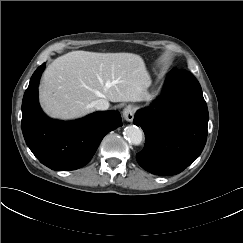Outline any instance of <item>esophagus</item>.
Wrapping results in <instances>:
<instances>
[{"instance_id": "34e87169", "label": "esophagus", "mask_w": 243, "mask_h": 243, "mask_svg": "<svg viewBox=\"0 0 243 243\" xmlns=\"http://www.w3.org/2000/svg\"><path fill=\"white\" fill-rule=\"evenodd\" d=\"M134 114H135V109L132 105H127L123 109V118L128 122H131L133 120Z\"/></svg>"}]
</instances>
